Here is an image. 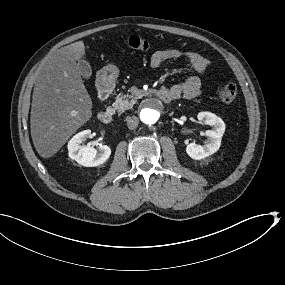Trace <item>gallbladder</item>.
Here are the masks:
<instances>
[{
  "label": "gallbladder",
  "instance_id": "obj_1",
  "mask_svg": "<svg viewBox=\"0 0 285 285\" xmlns=\"http://www.w3.org/2000/svg\"><path fill=\"white\" fill-rule=\"evenodd\" d=\"M77 68L83 78L89 79L91 77L92 69L87 61L79 60L77 63Z\"/></svg>",
  "mask_w": 285,
  "mask_h": 285
}]
</instances>
